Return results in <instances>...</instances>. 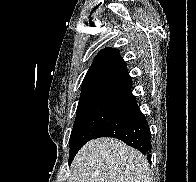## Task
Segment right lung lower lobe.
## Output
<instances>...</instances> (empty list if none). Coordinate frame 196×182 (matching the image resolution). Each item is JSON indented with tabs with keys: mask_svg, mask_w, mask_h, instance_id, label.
<instances>
[{
	"mask_svg": "<svg viewBox=\"0 0 196 182\" xmlns=\"http://www.w3.org/2000/svg\"><path fill=\"white\" fill-rule=\"evenodd\" d=\"M100 137H113L122 140L146 155L151 163V133L148 122L138 106L103 128L93 139Z\"/></svg>",
	"mask_w": 196,
	"mask_h": 182,
	"instance_id": "right-lung-lower-lobe-1",
	"label": "right lung lower lobe"
}]
</instances>
